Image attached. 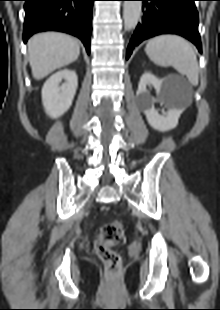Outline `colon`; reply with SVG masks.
<instances>
[{"label":"colon","instance_id":"1","mask_svg":"<svg viewBox=\"0 0 220 310\" xmlns=\"http://www.w3.org/2000/svg\"><path fill=\"white\" fill-rule=\"evenodd\" d=\"M122 223L112 221L105 223L100 228L99 236L95 242V251L99 258L105 263L107 272L116 275L122 267L120 255L113 249L121 240Z\"/></svg>","mask_w":220,"mask_h":310}]
</instances>
